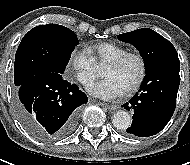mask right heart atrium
<instances>
[{"instance_id":"right-heart-atrium-1","label":"right heart atrium","mask_w":190,"mask_h":165,"mask_svg":"<svg viewBox=\"0 0 190 165\" xmlns=\"http://www.w3.org/2000/svg\"><path fill=\"white\" fill-rule=\"evenodd\" d=\"M68 68L84 86L91 84L96 77V62L86 48L75 49L71 52Z\"/></svg>"}]
</instances>
